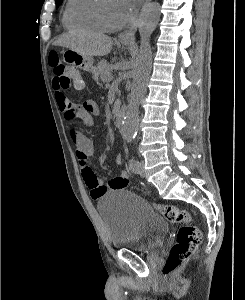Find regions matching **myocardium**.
<instances>
[{
	"label": "myocardium",
	"instance_id": "obj_1",
	"mask_svg": "<svg viewBox=\"0 0 245 300\" xmlns=\"http://www.w3.org/2000/svg\"><path fill=\"white\" fill-rule=\"evenodd\" d=\"M102 2H103V0H97L96 6H95L96 19H97L98 24L101 27V29L104 31H116V30L123 28L130 19H126L123 22L118 23V24H110L104 16Z\"/></svg>",
	"mask_w": 245,
	"mask_h": 300
}]
</instances>
